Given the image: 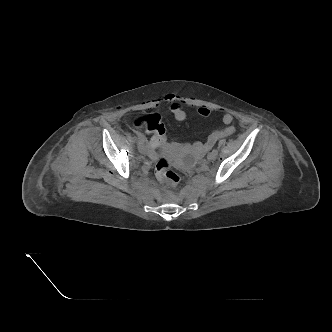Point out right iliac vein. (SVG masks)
Wrapping results in <instances>:
<instances>
[{
  "instance_id": "right-iliac-vein-1",
  "label": "right iliac vein",
  "mask_w": 332,
  "mask_h": 332,
  "mask_svg": "<svg viewBox=\"0 0 332 332\" xmlns=\"http://www.w3.org/2000/svg\"><path fill=\"white\" fill-rule=\"evenodd\" d=\"M137 147L140 152H144L145 150V143L143 140H138Z\"/></svg>"
}]
</instances>
